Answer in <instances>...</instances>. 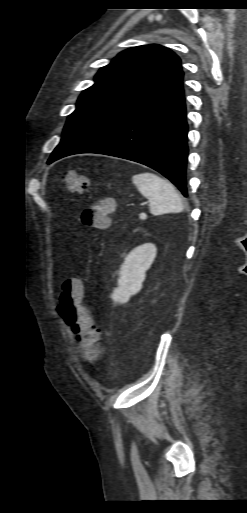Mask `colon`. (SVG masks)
Masks as SVG:
<instances>
[{"label": "colon", "mask_w": 247, "mask_h": 513, "mask_svg": "<svg viewBox=\"0 0 247 513\" xmlns=\"http://www.w3.org/2000/svg\"><path fill=\"white\" fill-rule=\"evenodd\" d=\"M67 184L69 188L80 193L88 190L87 179L77 173L67 174ZM113 212L114 205L109 200H103L84 210L82 221L86 226L106 229L111 223ZM84 293L85 286L80 277L68 278L59 294L58 310L83 346V358L86 361H99L103 356V349L98 343L99 330L89 308L83 303Z\"/></svg>", "instance_id": "1"}]
</instances>
